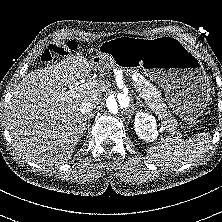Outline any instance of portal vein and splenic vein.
Segmentation results:
<instances>
[{
	"mask_svg": "<svg viewBox=\"0 0 222 222\" xmlns=\"http://www.w3.org/2000/svg\"><path fill=\"white\" fill-rule=\"evenodd\" d=\"M84 81H81V83H83ZM80 83L77 82L76 85H79ZM90 83H85L84 85L88 86ZM70 92H67L66 94H69ZM177 135H179V137H181V134L177 133Z\"/></svg>",
	"mask_w": 222,
	"mask_h": 222,
	"instance_id": "18ae733b",
	"label": "portal vein and splenic vein"
}]
</instances>
